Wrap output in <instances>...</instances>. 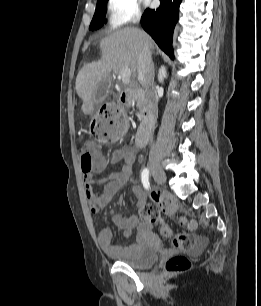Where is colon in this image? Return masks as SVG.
<instances>
[{"mask_svg":"<svg viewBox=\"0 0 261 306\" xmlns=\"http://www.w3.org/2000/svg\"><path fill=\"white\" fill-rule=\"evenodd\" d=\"M110 116L114 119L111 123H107L103 119H97L92 127L91 134L93 138L100 142H108L122 137L124 133V119L119 109L114 104L108 105ZM81 156L82 171H91L96 168L104 156L101 153H93L89 143H84L79 148ZM160 210L167 214L175 213V202L163 197L162 195L153 194V201L143 205L139 209V216L143 221L158 223L162 226L161 234L166 239H171L172 246L176 251L186 252L194 249L196 245L195 238L188 233H173L165 224ZM181 221L192 227L193 223L181 217ZM191 268L190 260L182 255L175 254L169 257L163 266V270L169 274L181 273Z\"/></svg>","mask_w":261,"mask_h":306,"instance_id":"obj_1","label":"colon"}]
</instances>
